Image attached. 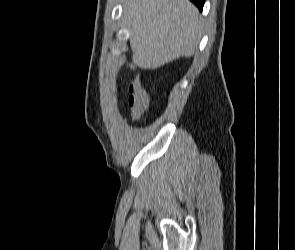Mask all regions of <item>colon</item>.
Masks as SVG:
<instances>
[{
	"mask_svg": "<svg viewBox=\"0 0 295 250\" xmlns=\"http://www.w3.org/2000/svg\"><path fill=\"white\" fill-rule=\"evenodd\" d=\"M128 104L134 119L141 117L147 109L148 96L139 79H135L128 86Z\"/></svg>",
	"mask_w": 295,
	"mask_h": 250,
	"instance_id": "5ec220e1",
	"label": "colon"
}]
</instances>
